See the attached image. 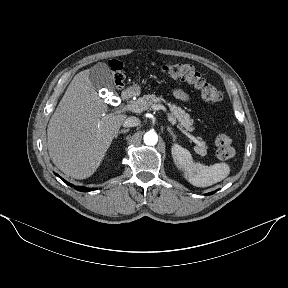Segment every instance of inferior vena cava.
<instances>
[{
  "label": "inferior vena cava",
  "instance_id": "inferior-vena-cava-1",
  "mask_svg": "<svg viewBox=\"0 0 288 288\" xmlns=\"http://www.w3.org/2000/svg\"><path fill=\"white\" fill-rule=\"evenodd\" d=\"M141 123L140 119L135 116H130L125 119L123 122L124 127H136L139 126Z\"/></svg>",
  "mask_w": 288,
  "mask_h": 288
}]
</instances>
